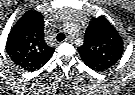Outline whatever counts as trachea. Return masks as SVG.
Wrapping results in <instances>:
<instances>
[{
    "label": "trachea",
    "instance_id": "trachea-1",
    "mask_svg": "<svg viewBox=\"0 0 135 95\" xmlns=\"http://www.w3.org/2000/svg\"><path fill=\"white\" fill-rule=\"evenodd\" d=\"M56 39L58 41H63L65 39V34L64 33H59L57 36H56Z\"/></svg>",
    "mask_w": 135,
    "mask_h": 95
}]
</instances>
